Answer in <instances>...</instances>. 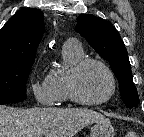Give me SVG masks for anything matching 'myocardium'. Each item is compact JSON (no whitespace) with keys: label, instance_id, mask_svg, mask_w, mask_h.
Returning <instances> with one entry per match:
<instances>
[{"label":"myocardium","instance_id":"f54148a6","mask_svg":"<svg viewBox=\"0 0 144 137\" xmlns=\"http://www.w3.org/2000/svg\"><path fill=\"white\" fill-rule=\"evenodd\" d=\"M90 64H95L100 66L107 73L110 80L111 86H110L109 93L100 100H94V101L86 100L80 96L77 90V78L79 74L82 72V70ZM116 88H117L116 78L111 68L102 60L95 59V58L81 59L69 70L67 76V89H68L69 98L73 102L83 106H99L107 103L115 95Z\"/></svg>","mask_w":144,"mask_h":137}]
</instances>
